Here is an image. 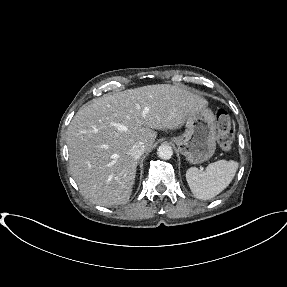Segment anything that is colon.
Listing matches in <instances>:
<instances>
[{
  "label": "colon",
  "instance_id": "obj_1",
  "mask_svg": "<svg viewBox=\"0 0 287 287\" xmlns=\"http://www.w3.org/2000/svg\"><path fill=\"white\" fill-rule=\"evenodd\" d=\"M217 141L220 148L224 151H229L234 145V131L230 115L223 109L217 112Z\"/></svg>",
  "mask_w": 287,
  "mask_h": 287
}]
</instances>
